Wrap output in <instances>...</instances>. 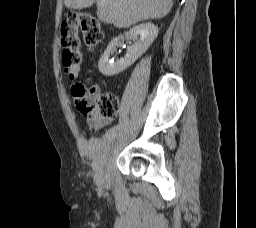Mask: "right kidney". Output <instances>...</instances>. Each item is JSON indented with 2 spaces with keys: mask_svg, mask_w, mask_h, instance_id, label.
Listing matches in <instances>:
<instances>
[{
  "mask_svg": "<svg viewBox=\"0 0 256 228\" xmlns=\"http://www.w3.org/2000/svg\"><path fill=\"white\" fill-rule=\"evenodd\" d=\"M158 32V27L152 23H144L134 26L130 29L129 36L136 40V42L133 46L128 48L125 57L116 62L110 60V55L116 49L118 42L123 40L124 36L120 35L119 37L114 38L109 43L99 60V71L105 76H114L124 71L147 51L157 37Z\"/></svg>",
  "mask_w": 256,
  "mask_h": 228,
  "instance_id": "right-kidney-1",
  "label": "right kidney"
}]
</instances>
